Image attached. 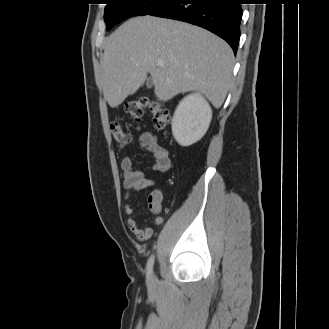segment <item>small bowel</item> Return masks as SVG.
<instances>
[{
    "label": "small bowel",
    "instance_id": "obj_1",
    "mask_svg": "<svg viewBox=\"0 0 329 329\" xmlns=\"http://www.w3.org/2000/svg\"><path fill=\"white\" fill-rule=\"evenodd\" d=\"M140 147L152 154L154 163L151 169L157 172H166L171 168V159L169 152L164 148L157 138L150 132H144L139 136ZM123 172L124 199L127 204L124 207L128 217V227L139 241H147L152 237L153 230L150 227H139L133 214L134 210L129 203L134 192L153 187V191L148 196V208L155 215L154 223L161 226L164 219L159 215L162 210V192L156 187L155 182L148 178L142 171L133 167L130 157L125 156L120 163Z\"/></svg>",
    "mask_w": 329,
    "mask_h": 329
}]
</instances>
